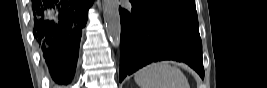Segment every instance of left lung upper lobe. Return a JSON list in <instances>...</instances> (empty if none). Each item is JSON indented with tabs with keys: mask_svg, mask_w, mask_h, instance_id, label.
I'll return each instance as SVG.
<instances>
[{
	"mask_svg": "<svg viewBox=\"0 0 267 88\" xmlns=\"http://www.w3.org/2000/svg\"><path fill=\"white\" fill-rule=\"evenodd\" d=\"M143 13L175 16L198 22L195 0H130Z\"/></svg>",
	"mask_w": 267,
	"mask_h": 88,
	"instance_id": "1",
	"label": "left lung upper lobe"
}]
</instances>
